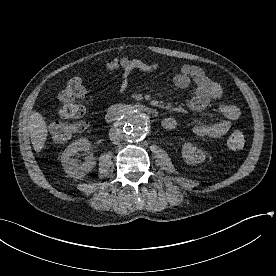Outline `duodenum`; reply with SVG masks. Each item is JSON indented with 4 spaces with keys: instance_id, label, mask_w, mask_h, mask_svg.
Masks as SVG:
<instances>
[{
    "instance_id": "410a0bca",
    "label": "duodenum",
    "mask_w": 276,
    "mask_h": 276,
    "mask_svg": "<svg viewBox=\"0 0 276 276\" xmlns=\"http://www.w3.org/2000/svg\"><path fill=\"white\" fill-rule=\"evenodd\" d=\"M140 110L149 114H156V110L143 105H115L110 107L105 115L107 122L117 121L123 114L131 110Z\"/></svg>"
}]
</instances>
